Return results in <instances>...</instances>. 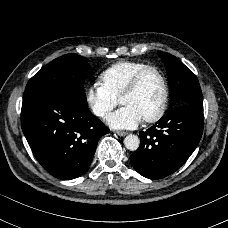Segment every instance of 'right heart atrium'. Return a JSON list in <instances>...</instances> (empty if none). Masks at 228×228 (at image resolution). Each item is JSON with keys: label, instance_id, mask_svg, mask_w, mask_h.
<instances>
[{"label": "right heart atrium", "instance_id": "d8ad5b80", "mask_svg": "<svg viewBox=\"0 0 228 228\" xmlns=\"http://www.w3.org/2000/svg\"><path fill=\"white\" fill-rule=\"evenodd\" d=\"M86 102L95 116L105 118L119 104V99L95 81L86 88Z\"/></svg>", "mask_w": 228, "mask_h": 228}]
</instances>
